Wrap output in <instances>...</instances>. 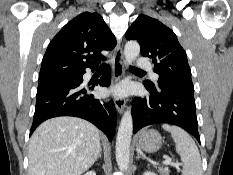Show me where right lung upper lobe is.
Returning a JSON list of instances; mask_svg holds the SVG:
<instances>
[{"instance_id": "obj_1", "label": "right lung upper lobe", "mask_w": 233, "mask_h": 175, "mask_svg": "<svg viewBox=\"0 0 233 175\" xmlns=\"http://www.w3.org/2000/svg\"><path fill=\"white\" fill-rule=\"evenodd\" d=\"M115 45V36L103 18L96 12H84L52 39L43 57L39 78L80 74L87 67L96 68L102 57L100 52Z\"/></svg>"}]
</instances>
